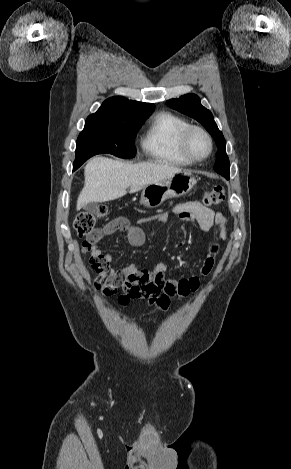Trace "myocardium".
<instances>
[{
	"label": "myocardium",
	"instance_id": "1",
	"mask_svg": "<svg viewBox=\"0 0 291 469\" xmlns=\"http://www.w3.org/2000/svg\"><path fill=\"white\" fill-rule=\"evenodd\" d=\"M195 131L202 133L206 137L208 144H209L208 152L202 157L194 156L189 149V140H190L192 133ZM179 147H180V151L182 155L186 159H188L192 163H199V162L206 160L212 154L214 144H213V139L210 133L205 128L198 126V125H189L180 134Z\"/></svg>",
	"mask_w": 291,
	"mask_h": 469
}]
</instances>
